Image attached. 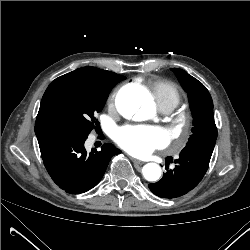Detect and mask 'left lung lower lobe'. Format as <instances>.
I'll use <instances>...</instances> for the list:
<instances>
[{
  "mask_svg": "<svg viewBox=\"0 0 250 250\" xmlns=\"http://www.w3.org/2000/svg\"><path fill=\"white\" fill-rule=\"evenodd\" d=\"M216 139L198 141L188 144L175 160L173 170L165 166L166 173L160 181L149 184V189L162 198H175L193 189L206 173Z\"/></svg>",
  "mask_w": 250,
  "mask_h": 250,
  "instance_id": "0a47b994",
  "label": "left lung lower lobe"
}]
</instances>
